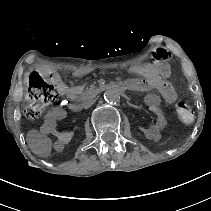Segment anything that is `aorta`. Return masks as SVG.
<instances>
[{
	"label": "aorta",
	"instance_id": "aorta-1",
	"mask_svg": "<svg viewBox=\"0 0 211 211\" xmlns=\"http://www.w3.org/2000/svg\"><path fill=\"white\" fill-rule=\"evenodd\" d=\"M104 99L108 103H117L120 100V95L116 90H107L104 94Z\"/></svg>",
	"mask_w": 211,
	"mask_h": 211
}]
</instances>
